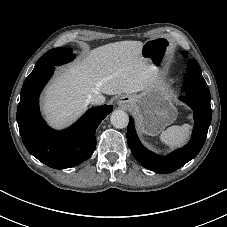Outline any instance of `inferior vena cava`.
Listing matches in <instances>:
<instances>
[{"label": "inferior vena cava", "mask_w": 227, "mask_h": 227, "mask_svg": "<svg viewBox=\"0 0 227 227\" xmlns=\"http://www.w3.org/2000/svg\"><path fill=\"white\" fill-rule=\"evenodd\" d=\"M87 102L95 105H100L105 102V97L98 92L91 93L87 96Z\"/></svg>", "instance_id": "obj_1"}]
</instances>
